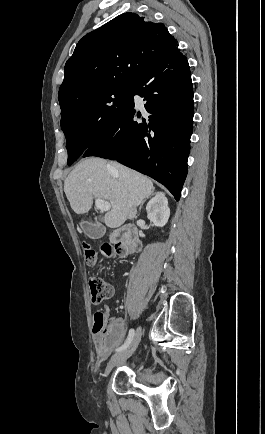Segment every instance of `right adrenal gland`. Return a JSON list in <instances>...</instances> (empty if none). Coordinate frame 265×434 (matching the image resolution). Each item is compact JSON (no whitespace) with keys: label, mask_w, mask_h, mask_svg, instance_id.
Returning a JSON list of instances; mask_svg holds the SVG:
<instances>
[{"label":"right adrenal gland","mask_w":265,"mask_h":434,"mask_svg":"<svg viewBox=\"0 0 265 434\" xmlns=\"http://www.w3.org/2000/svg\"><path fill=\"white\" fill-rule=\"evenodd\" d=\"M151 196H154V194H151ZM148 198H149V196H148ZM144 202H145V200H143V202H142V204H141L139 210H142V206H143Z\"/></svg>","instance_id":"right-adrenal-gland-1"}]
</instances>
